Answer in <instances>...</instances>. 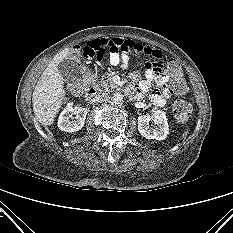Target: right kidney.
Returning <instances> with one entry per match:
<instances>
[{
	"label": "right kidney",
	"mask_w": 233,
	"mask_h": 233,
	"mask_svg": "<svg viewBox=\"0 0 233 233\" xmlns=\"http://www.w3.org/2000/svg\"><path fill=\"white\" fill-rule=\"evenodd\" d=\"M74 119L71 120L72 116ZM87 115V109L83 107H66L58 119V128L65 132H75L80 130L84 124Z\"/></svg>",
	"instance_id": "obj_1"
}]
</instances>
